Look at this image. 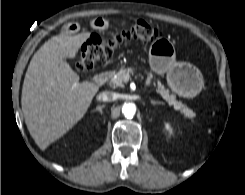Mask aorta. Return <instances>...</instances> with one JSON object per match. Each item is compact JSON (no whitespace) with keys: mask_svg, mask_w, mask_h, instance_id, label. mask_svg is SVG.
<instances>
[{"mask_svg":"<svg viewBox=\"0 0 245 195\" xmlns=\"http://www.w3.org/2000/svg\"><path fill=\"white\" fill-rule=\"evenodd\" d=\"M136 112V106L134 103H126L122 107V113L127 118H132Z\"/></svg>","mask_w":245,"mask_h":195,"instance_id":"aorta-1","label":"aorta"}]
</instances>
